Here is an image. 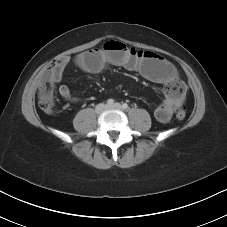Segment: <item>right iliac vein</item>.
Instances as JSON below:
<instances>
[{
    "label": "right iliac vein",
    "mask_w": 227,
    "mask_h": 227,
    "mask_svg": "<svg viewBox=\"0 0 227 227\" xmlns=\"http://www.w3.org/2000/svg\"><path fill=\"white\" fill-rule=\"evenodd\" d=\"M107 109V105H105V104H103V103H100V104H98L97 106H96V108H95V112L97 113V114H100V113H102L104 110H106Z\"/></svg>",
    "instance_id": "right-iliac-vein-1"
}]
</instances>
